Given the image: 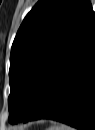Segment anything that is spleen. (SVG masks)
I'll use <instances>...</instances> for the list:
<instances>
[{
  "label": "spleen",
  "mask_w": 95,
  "mask_h": 130,
  "mask_svg": "<svg viewBox=\"0 0 95 130\" xmlns=\"http://www.w3.org/2000/svg\"><path fill=\"white\" fill-rule=\"evenodd\" d=\"M48 130H73L70 126L65 124H59L57 126H51Z\"/></svg>",
  "instance_id": "3e777b00"
}]
</instances>
